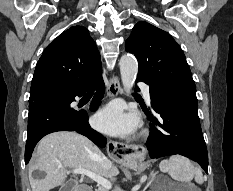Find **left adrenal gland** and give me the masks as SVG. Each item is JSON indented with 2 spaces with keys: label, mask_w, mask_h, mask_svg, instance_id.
I'll list each match as a JSON object with an SVG mask.
<instances>
[{
  "label": "left adrenal gland",
  "mask_w": 233,
  "mask_h": 191,
  "mask_svg": "<svg viewBox=\"0 0 233 191\" xmlns=\"http://www.w3.org/2000/svg\"><path fill=\"white\" fill-rule=\"evenodd\" d=\"M155 175L156 174L154 172H152V174H151V180H150L151 182L154 180Z\"/></svg>",
  "instance_id": "left-adrenal-gland-1"
}]
</instances>
